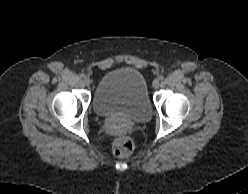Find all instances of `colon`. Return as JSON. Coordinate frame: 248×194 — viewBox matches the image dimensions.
<instances>
[{"mask_svg":"<svg viewBox=\"0 0 248 194\" xmlns=\"http://www.w3.org/2000/svg\"><path fill=\"white\" fill-rule=\"evenodd\" d=\"M134 150L132 140L126 136L117 138L113 143V151L117 156L125 157L130 155Z\"/></svg>","mask_w":248,"mask_h":194,"instance_id":"colon-1","label":"colon"}]
</instances>
